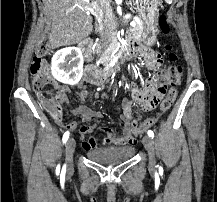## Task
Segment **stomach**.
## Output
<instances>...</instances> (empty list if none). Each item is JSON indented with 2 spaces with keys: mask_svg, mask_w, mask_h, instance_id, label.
<instances>
[{
  "mask_svg": "<svg viewBox=\"0 0 217 202\" xmlns=\"http://www.w3.org/2000/svg\"><path fill=\"white\" fill-rule=\"evenodd\" d=\"M137 12L143 20L142 42L145 46H154L157 40V20L161 0H136Z\"/></svg>",
  "mask_w": 217,
  "mask_h": 202,
  "instance_id": "obj_1",
  "label": "stomach"
}]
</instances>
